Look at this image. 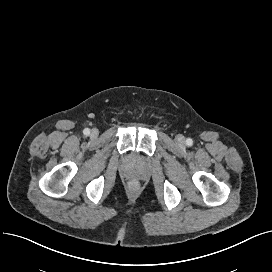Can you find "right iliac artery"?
Returning a JSON list of instances; mask_svg holds the SVG:
<instances>
[{
  "mask_svg": "<svg viewBox=\"0 0 272 272\" xmlns=\"http://www.w3.org/2000/svg\"><path fill=\"white\" fill-rule=\"evenodd\" d=\"M84 135L88 136L90 134V130L88 128L83 130Z\"/></svg>",
  "mask_w": 272,
  "mask_h": 272,
  "instance_id": "right-iliac-artery-1",
  "label": "right iliac artery"
}]
</instances>
